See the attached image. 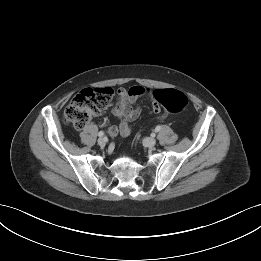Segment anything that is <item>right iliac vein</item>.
<instances>
[{"mask_svg":"<svg viewBox=\"0 0 261 261\" xmlns=\"http://www.w3.org/2000/svg\"><path fill=\"white\" fill-rule=\"evenodd\" d=\"M98 145L104 147L106 145V139L101 137L98 139Z\"/></svg>","mask_w":261,"mask_h":261,"instance_id":"obj_1","label":"right iliac vein"}]
</instances>
